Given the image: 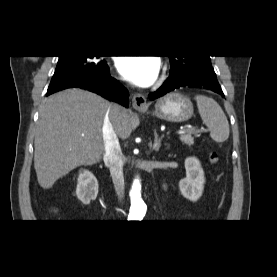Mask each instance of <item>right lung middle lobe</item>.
Instances as JSON below:
<instances>
[{"label":"right lung middle lobe","mask_w":277,"mask_h":277,"mask_svg":"<svg viewBox=\"0 0 277 277\" xmlns=\"http://www.w3.org/2000/svg\"><path fill=\"white\" fill-rule=\"evenodd\" d=\"M100 56H59L48 90L68 86L82 80H98L108 70Z\"/></svg>","instance_id":"1"}]
</instances>
